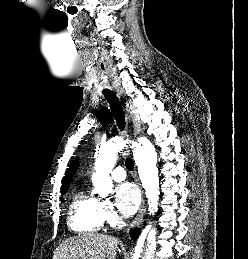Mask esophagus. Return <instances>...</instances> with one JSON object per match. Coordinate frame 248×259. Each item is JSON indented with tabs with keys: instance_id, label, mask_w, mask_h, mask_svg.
<instances>
[{
	"instance_id": "34e87169",
	"label": "esophagus",
	"mask_w": 248,
	"mask_h": 259,
	"mask_svg": "<svg viewBox=\"0 0 248 259\" xmlns=\"http://www.w3.org/2000/svg\"><path fill=\"white\" fill-rule=\"evenodd\" d=\"M119 95H122L121 92H118ZM126 119L127 121L131 124L132 128H133V133H134V136H137L139 135L141 132H142V127H141V122L139 120V117L138 115L135 113V110L132 106V104L130 103V101H128L126 99ZM134 176H135V179L137 181V183L140 185L139 183V180H138V177H137V172H136V169L134 170ZM142 192V201H141V205L139 207V210H138V213L133 221V224H132V227H138L142 220H143V217H144V214H145V200H144V195H143V191Z\"/></svg>"
}]
</instances>
